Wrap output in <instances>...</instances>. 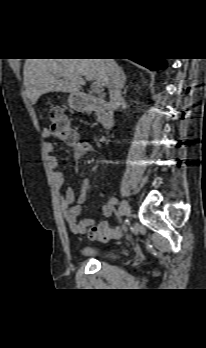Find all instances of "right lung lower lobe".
<instances>
[{"label": "right lung lower lobe", "instance_id": "obj_1", "mask_svg": "<svg viewBox=\"0 0 206 348\" xmlns=\"http://www.w3.org/2000/svg\"><path fill=\"white\" fill-rule=\"evenodd\" d=\"M132 60L151 70H157L164 67L163 61L160 58H145V59H132Z\"/></svg>", "mask_w": 206, "mask_h": 348}]
</instances>
